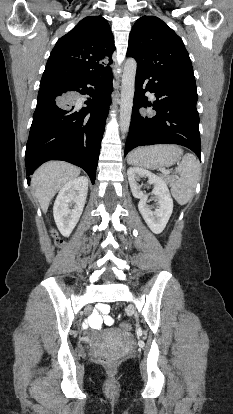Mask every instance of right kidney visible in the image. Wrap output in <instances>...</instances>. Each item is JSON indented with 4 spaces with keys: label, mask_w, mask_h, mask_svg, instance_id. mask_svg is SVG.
Listing matches in <instances>:
<instances>
[{
    "label": "right kidney",
    "mask_w": 233,
    "mask_h": 414,
    "mask_svg": "<svg viewBox=\"0 0 233 414\" xmlns=\"http://www.w3.org/2000/svg\"><path fill=\"white\" fill-rule=\"evenodd\" d=\"M87 193L88 179L84 176L67 182L61 188L54 203L53 215L63 236L68 237L79 221L86 203Z\"/></svg>",
    "instance_id": "right-kidney-1"
}]
</instances>
